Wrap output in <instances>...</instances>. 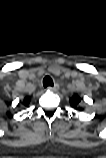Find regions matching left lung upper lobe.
<instances>
[{
  "mask_svg": "<svg viewBox=\"0 0 106 158\" xmlns=\"http://www.w3.org/2000/svg\"><path fill=\"white\" fill-rule=\"evenodd\" d=\"M80 101H81V98H80L78 95H74V96L70 99V105H71V107H73V108H75V109H78V110H82V109L79 107Z\"/></svg>",
  "mask_w": 106,
  "mask_h": 158,
  "instance_id": "5c2ea615",
  "label": "left lung upper lobe"
}]
</instances>
